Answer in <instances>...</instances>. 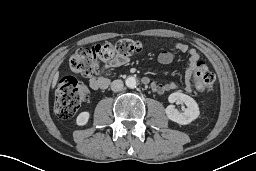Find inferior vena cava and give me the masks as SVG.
Listing matches in <instances>:
<instances>
[{"instance_id":"inferior-vena-cava-1","label":"inferior vena cava","mask_w":256,"mask_h":171,"mask_svg":"<svg viewBox=\"0 0 256 171\" xmlns=\"http://www.w3.org/2000/svg\"><path fill=\"white\" fill-rule=\"evenodd\" d=\"M123 81L122 80H114L112 83H111V89L112 91L114 92H118V91H121L123 89Z\"/></svg>"}]
</instances>
